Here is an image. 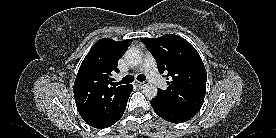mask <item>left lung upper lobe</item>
Segmentation results:
<instances>
[{"mask_svg":"<svg viewBox=\"0 0 276 138\" xmlns=\"http://www.w3.org/2000/svg\"><path fill=\"white\" fill-rule=\"evenodd\" d=\"M156 59L160 73L167 81L166 90L157 97L178 108L198 112L206 92L207 74L196 49L184 38L167 34L158 38H142Z\"/></svg>","mask_w":276,"mask_h":138,"instance_id":"1","label":"left lung upper lobe"}]
</instances>
